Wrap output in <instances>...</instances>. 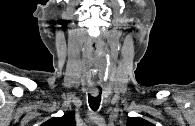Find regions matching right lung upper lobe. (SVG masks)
<instances>
[{
  "instance_id": "right-lung-upper-lobe-1",
  "label": "right lung upper lobe",
  "mask_w": 195,
  "mask_h": 126,
  "mask_svg": "<svg viewBox=\"0 0 195 126\" xmlns=\"http://www.w3.org/2000/svg\"><path fill=\"white\" fill-rule=\"evenodd\" d=\"M75 117L73 112L62 117H54L41 124V126H75Z\"/></svg>"
}]
</instances>
